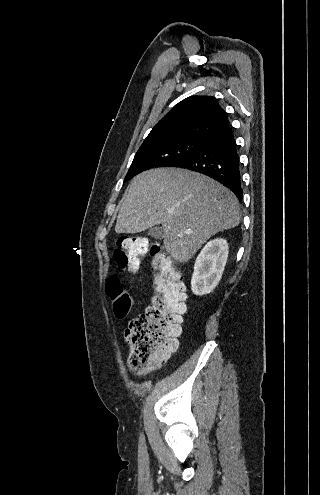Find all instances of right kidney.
<instances>
[{
  "label": "right kidney",
  "mask_w": 320,
  "mask_h": 495,
  "mask_svg": "<svg viewBox=\"0 0 320 495\" xmlns=\"http://www.w3.org/2000/svg\"><path fill=\"white\" fill-rule=\"evenodd\" d=\"M228 253L225 239L211 240L203 247L194 264L191 279L193 294L203 296L215 289L221 280Z\"/></svg>",
  "instance_id": "1"
}]
</instances>
